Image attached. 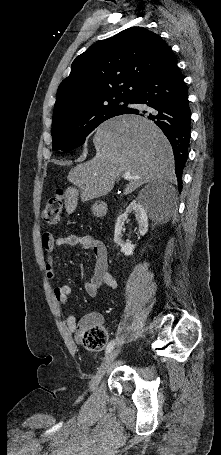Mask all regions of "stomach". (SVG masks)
Instances as JSON below:
<instances>
[{"mask_svg":"<svg viewBox=\"0 0 221 455\" xmlns=\"http://www.w3.org/2000/svg\"><path fill=\"white\" fill-rule=\"evenodd\" d=\"M96 209H97V206H96V205H94V206H93V210H94V211H96Z\"/></svg>","mask_w":221,"mask_h":455,"instance_id":"stomach-1","label":"stomach"}]
</instances>
